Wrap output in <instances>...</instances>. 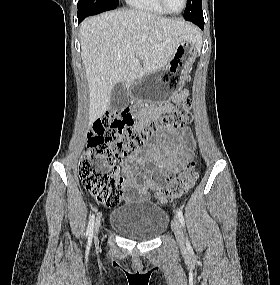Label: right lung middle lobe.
Listing matches in <instances>:
<instances>
[{
	"instance_id": "dd1d6c3e",
	"label": "right lung middle lobe",
	"mask_w": 280,
	"mask_h": 285,
	"mask_svg": "<svg viewBox=\"0 0 280 285\" xmlns=\"http://www.w3.org/2000/svg\"><path fill=\"white\" fill-rule=\"evenodd\" d=\"M118 5L119 0H79L77 4L78 17L86 18L90 15L115 9Z\"/></svg>"
}]
</instances>
